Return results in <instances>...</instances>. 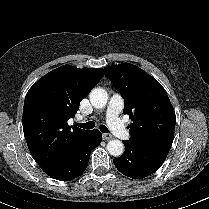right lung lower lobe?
Instances as JSON below:
<instances>
[{
	"label": "right lung lower lobe",
	"mask_w": 209,
	"mask_h": 209,
	"mask_svg": "<svg viewBox=\"0 0 209 209\" xmlns=\"http://www.w3.org/2000/svg\"><path fill=\"white\" fill-rule=\"evenodd\" d=\"M101 139L99 130L88 131L67 157L47 174L60 181H69L80 176L87 167L91 150L101 143Z\"/></svg>",
	"instance_id": "1"
}]
</instances>
